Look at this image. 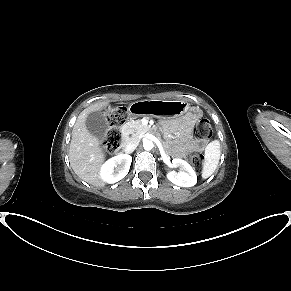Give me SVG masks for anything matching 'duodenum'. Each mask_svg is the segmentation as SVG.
<instances>
[{
	"label": "duodenum",
	"mask_w": 291,
	"mask_h": 291,
	"mask_svg": "<svg viewBox=\"0 0 291 291\" xmlns=\"http://www.w3.org/2000/svg\"><path fill=\"white\" fill-rule=\"evenodd\" d=\"M127 143V141L125 140V139H123V143H120L119 145H118V148L116 149V152L118 153V154H121L123 151H124V149H125V144Z\"/></svg>",
	"instance_id": "obj_1"
}]
</instances>
